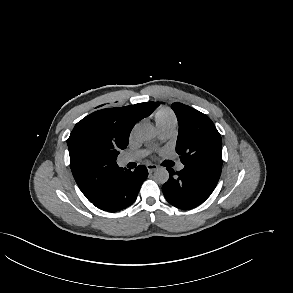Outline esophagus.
<instances>
[{"instance_id":"34e87169","label":"esophagus","mask_w":293,"mask_h":293,"mask_svg":"<svg viewBox=\"0 0 293 293\" xmlns=\"http://www.w3.org/2000/svg\"><path fill=\"white\" fill-rule=\"evenodd\" d=\"M146 167L150 173L154 172L158 169V166L155 164H147Z\"/></svg>"}]
</instances>
